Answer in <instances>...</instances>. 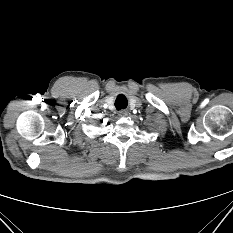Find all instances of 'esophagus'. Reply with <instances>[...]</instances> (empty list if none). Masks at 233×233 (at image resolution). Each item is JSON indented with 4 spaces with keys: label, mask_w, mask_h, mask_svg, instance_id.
I'll return each mask as SVG.
<instances>
[{
    "label": "esophagus",
    "mask_w": 233,
    "mask_h": 233,
    "mask_svg": "<svg viewBox=\"0 0 233 233\" xmlns=\"http://www.w3.org/2000/svg\"><path fill=\"white\" fill-rule=\"evenodd\" d=\"M119 115H120V116H127V115H128V111H127V110H121V111L119 112Z\"/></svg>",
    "instance_id": "1"
}]
</instances>
